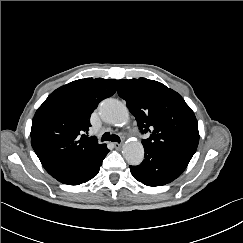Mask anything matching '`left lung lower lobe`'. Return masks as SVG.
Wrapping results in <instances>:
<instances>
[{"label": "left lung lower lobe", "mask_w": 243, "mask_h": 243, "mask_svg": "<svg viewBox=\"0 0 243 243\" xmlns=\"http://www.w3.org/2000/svg\"><path fill=\"white\" fill-rule=\"evenodd\" d=\"M143 162L130 166L133 177L147 186H161L175 180L187 167L194 153L144 146Z\"/></svg>", "instance_id": "0a47b994"}]
</instances>
